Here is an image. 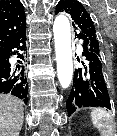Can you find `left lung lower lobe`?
I'll use <instances>...</instances> for the list:
<instances>
[{
    "instance_id": "obj_1",
    "label": "left lung lower lobe",
    "mask_w": 117,
    "mask_h": 136,
    "mask_svg": "<svg viewBox=\"0 0 117 136\" xmlns=\"http://www.w3.org/2000/svg\"><path fill=\"white\" fill-rule=\"evenodd\" d=\"M84 68L74 72L73 85L67 100L69 116L81 107H105L111 109L110 98L105 82L101 58L89 49L88 42L82 36Z\"/></svg>"
}]
</instances>
